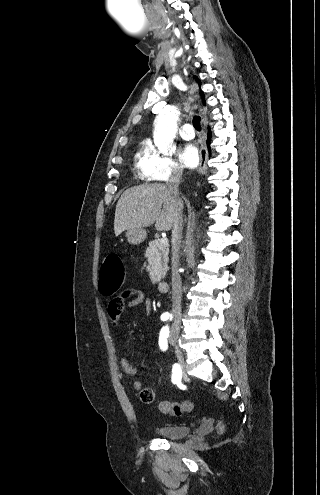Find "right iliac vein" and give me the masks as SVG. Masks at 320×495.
<instances>
[{
  "label": "right iliac vein",
  "instance_id": "obj_1",
  "mask_svg": "<svg viewBox=\"0 0 320 495\" xmlns=\"http://www.w3.org/2000/svg\"><path fill=\"white\" fill-rule=\"evenodd\" d=\"M173 344L175 345V352H176V355H177L179 361L181 363H183L184 362V358H183V354H182L181 349L177 345V336L176 335L173 336Z\"/></svg>",
  "mask_w": 320,
  "mask_h": 495
}]
</instances>
